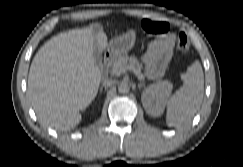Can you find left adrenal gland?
<instances>
[{
  "label": "left adrenal gland",
  "mask_w": 243,
  "mask_h": 167,
  "mask_svg": "<svg viewBox=\"0 0 243 167\" xmlns=\"http://www.w3.org/2000/svg\"><path fill=\"white\" fill-rule=\"evenodd\" d=\"M144 86L143 83L138 84V88L141 89Z\"/></svg>",
  "instance_id": "a2214340"
}]
</instances>
